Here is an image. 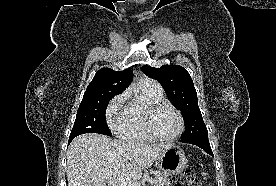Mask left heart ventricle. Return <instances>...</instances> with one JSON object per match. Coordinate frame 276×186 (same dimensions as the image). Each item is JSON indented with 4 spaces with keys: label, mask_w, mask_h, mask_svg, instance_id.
Masks as SVG:
<instances>
[{
    "label": "left heart ventricle",
    "mask_w": 276,
    "mask_h": 186,
    "mask_svg": "<svg viewBox=\"0 0 276 186\" xmlns=\"http://www.w3.org/2000/svg\"><path fill=\"white\" fill-rule=\"evenodd\" d=\"M154 128L160 136H174L180 128L179 117L170 107L163 106L154 116Z\"/></svg>",
    "instance_id": "1"
}]
</instances>
